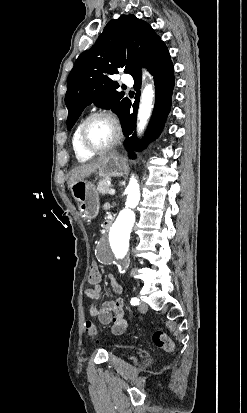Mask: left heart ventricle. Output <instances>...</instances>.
I'll return each instance as SVG.
<instances>
[{"mask_svg": "<svg viewBox=\"0 0 247 413\" xmlns=\"http://www.w3.org/2000/svg\"><path fill=\"white\" fill-rule=\"evenodd\" d=\"M116 129L114 124L106 118L93 120L85 131L86 142L95 147L108 144L115 136Z\"/></svg>", "mask_w": 247, "mask_h": 413, "instance_id": "left-heart-ventricle-1", "label": "left heart ventricle"}]
</instances>
